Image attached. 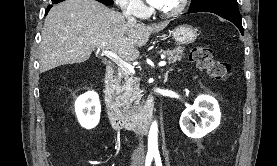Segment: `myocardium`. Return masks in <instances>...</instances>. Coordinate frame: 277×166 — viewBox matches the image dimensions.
<instances>
[{
  "mask_svg": "<svg viewBox=\"0 0 277 166\" xmlns=\"http://www.w3.org/2000/svg\"><path fill=\"white\" fill-rule=\"evenodd\" d=\"M188 1L189 0H180L176 7L172 8L170 10H167V11L158 10L157 12L160 16L165 17V18L175 17V16L181 14L185 10V8L188 4Z\"/></svg>",
  "mask_w": 277,
  "mask_h": 166,
  "instance_id": "1",
  "label": "myocardium"
}]
</instances>
